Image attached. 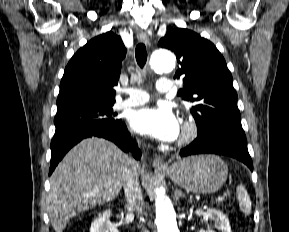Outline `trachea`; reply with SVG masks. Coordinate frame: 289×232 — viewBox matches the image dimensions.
Returning a JSON list of instances; mask_svg holds the SVG:
<instances>
[{
  "instance_id": "3493384b",
  "label": "trachea",
  "mask_w": 289,
  "mask_h": 232,
  "mask_svg": "<svg viewBox=\"0 0 289 232\" xmlns=\"http://www.w3.org/2000/svg\"><path fill=\"white\" fill-rule=\"evenodd\" d=\"M135 57L140 68H143L147 61V51L143 43H140L136 46Z\"/></svg>"
}]
</instances>
